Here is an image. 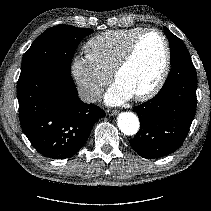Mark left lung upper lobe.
I'll use <instances>...</instances> for the list:
<instances>
[{"label": "left lung upper lobe", "mask_w": 211, "mask_h": 211, "mask_svg": "<svg viewBox=\"0 0 211 211\" xmlns=\"http://www.w3.org/2000/svg\"><path fill=\"white\" fill-rule=\"evenodd\" d=\"M164 31L170 43V64L173 65L182 58H189L190 54L184 42L172 34L168 28L164 27Z\"/></svg>", "instance_id": "left-lung-upper-lobe-1"}]
</instances>
